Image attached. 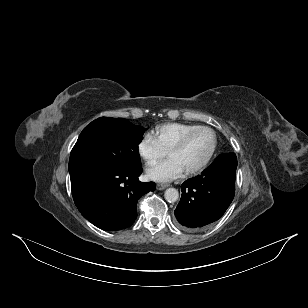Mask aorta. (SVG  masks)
<instances>
[{"label":"aorta","instance_id":"obj_1","mask_svg":"<svg viewBox=\"0 0 308 308\" xmlns=\"http://www.w3.org/2000/svg\"><path fill=\"white\" fill-rule=\"evenodd\" d=\"M164 197L170 203L176 202L179 198L178 190L175 188H168L164 193Z\"/></svg>","mask_w":308,"mask_h":308}]
</instances>
